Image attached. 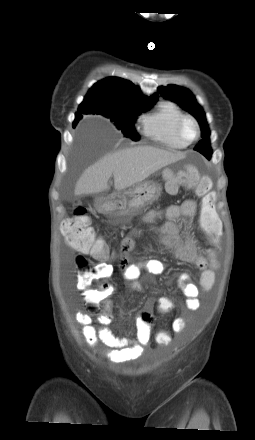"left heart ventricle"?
Returning <instances> with one entry per match:
<instances>
[{
	"label": "left heart ventricle",
	"instance_id": "1",
	"mask_svg": "<svg viewBox=\"0 0 255 440\" xmlns=\"http://www.w3.org/2000/svg\"><path fill=\"white\" fill-rule=\"evenodd\" d=\"M183 134L187 139H192L194 137L195 128L190 122L185 123L183 126Z\"/></svg>",
	"mask_w": 255,
	"mask_h": 440
}]
</instances>
